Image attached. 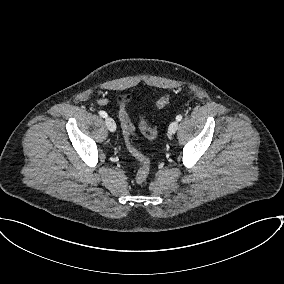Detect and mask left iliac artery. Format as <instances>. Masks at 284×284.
<instances>
[{
    "label": "left iliac artery",
    "mask_w": 284,
    "mask_h": 284,
    "mask_svg": "<svg viewBox=\"0 0 284 284\" xmlns=\"http://www.w3.org/2000/svg\"><path fill=\"white\" fill-rule=\"evenodd\" d=\"M176 120H177V121H181V120H182V115H177V116H176Z\"/></svg>",
    "instance_id": "left-iliac-artery-1"
}]
</instances>
